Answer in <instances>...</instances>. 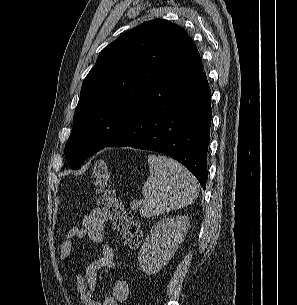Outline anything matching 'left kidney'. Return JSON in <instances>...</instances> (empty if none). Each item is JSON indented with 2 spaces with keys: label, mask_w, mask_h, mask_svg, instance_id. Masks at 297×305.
I'll return each instance as SVG.
<instances>
[{
  "label": "left kidney",
  "mask_w": 297,
  "mask_h": 305,
  "mask_svg": "<svg viewBox=\"0 0 297 305\" xmlns=\"http://www.w3.org/2000/svg\"><path fill=\"white\" fill-rule=\"evenodd\" d=\"M188 227L187 216L167 217L157 222L139 251L141 270L148 275L159 272L174 256Z\"/></svg>",
  "instance_id": "left-kidney-1"
}]
</instances>
